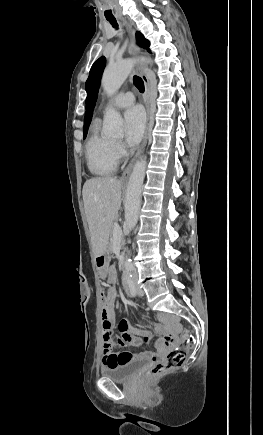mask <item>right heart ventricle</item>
<instances>
[{
  "label": "right heart ventricle",
  "mask_w": 263,
  "mask_h": 435,
  "mask_svg": "<svg viewBox=\"0 0 263 435\" xmlns=\"http://www.w3.org/2000/svg\"><path fill=\"white\" fill-rule=\"evenodd\" d=\"M85 156L87 167L95 176H109L117 169L118 157L115 152V143L101 133L98 118L92 123L85 146Z\"/></svg>",
  "instance_id": "obj_1"
}]
</instances>
